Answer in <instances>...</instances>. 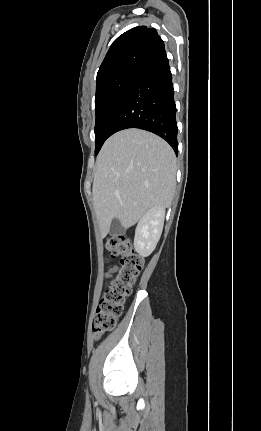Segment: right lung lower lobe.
<instances>
[{
    "mask_svg": "<svg viewBox=\"0 0 261 431\" xmlns=\"http://www.w3.org/2000/svg\"><path fill=\"white\" fill-rule=\"evenodd\" d=\"M127 128L157 134L178 154L176 105L166 53L140 70L111 124L110 136Z\"/></svg>",
    "mask_w": 261,
    "mask_h": 431,
    "instance_id": "obj_1",
    "label": "right lung lower lobe"
}]
</instances>
